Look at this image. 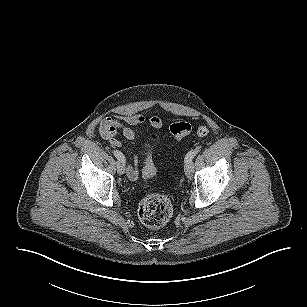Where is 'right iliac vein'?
Segmentation results:
<instances>
[{"label": "right iliac vein", "instance_id": "obj_1", "mask_svg": "<svg viewBox=\"0 0 307 307\" xmlns=\"http://www.w3.org/2000/svg\"><path fill=\"white\" fill-rule=\"evenodd\" d=\"M117 173L122 175L125 173V164L121 160L117 161L116 163Z\"/></svg>", "mask_w": 307, "mask_h": 307}]
</instances>
